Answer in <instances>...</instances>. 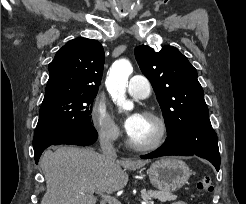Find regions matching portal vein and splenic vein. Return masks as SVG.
Masks as SVG:
<instances>
[{
  "label": "portal vein and splenic vein",
  "mask_w": 246,
  "mask_h": 204,
  "mask_svg": "<svg viewBox=\"0 0 246 204\" xmlns=\"http://www.w3.org/2000/svg\"><path fill=\"white\" fill-rule=\"evenodd\" d=\"M101 195L104 198V200L107 201L109 204H121V202L115 197L106 194H101ZM143 204H154V201L149 200L144 202Z\"/></svg>",
  "instance_id": "1"
}]
</instances>
